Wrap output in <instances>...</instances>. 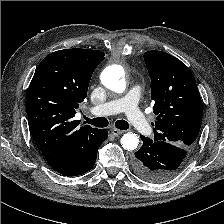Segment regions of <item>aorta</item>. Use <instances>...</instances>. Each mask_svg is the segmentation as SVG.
<instances>
[{"label":"aorta","instance_id":"obj_1","mask_svg":"<svg viewBox=\"0 0 224 224\" xmlns=\"http://www.w3.org/2000/svg\"><path fill=\"white\" fill-rule=\"evenodd\" d=\"M101 82L115 93H123L126 89L124 69L120 65H111L101 73ZM139 137L135 133H125L121 138V145L131 151L138 147Z\"/></svg>","mask_w":224,"mask_h":224}]
</instances>
